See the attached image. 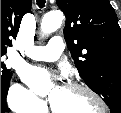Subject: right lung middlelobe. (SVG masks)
<instances>
[{"instance_id": "right-lung-middle-lobe-1", "label": "right lung middle lobe", "mask_w": 121, "mask_h": 113, "mask_svg": "<svg viewBox=\"0 0 121 113\" xmlns=\"http://www.w3.org/2000/svg\"><path fill=\"white\" fill-rule=\"evenodd\" d=\"M5 53L6 52H1V89H6L9 87L12 76L10 69L6 67L2 60V56L5 55Z\"/></svg>"}]
</instances>
